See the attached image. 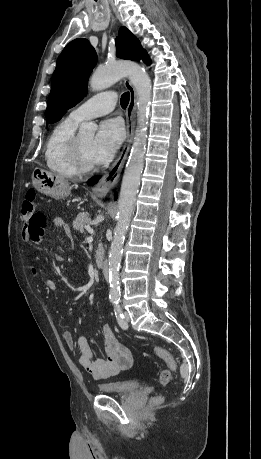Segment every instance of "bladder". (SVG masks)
<instances>
[{"label": "bladder", "mask_w": 261, "mask_h": 459, "mask_svg": "<svg viewBox=\"0 0 261 459\" xmlns=\"http://www.w3.org/2000/svg\"><path fill=\"white\" fill-rule=\"evenodd\" d=\"M97 389L106 394H131L140 389V383L135 380L112 381L99 384Z\"/></svg>", "instance_id": "1"}]
</instances>
